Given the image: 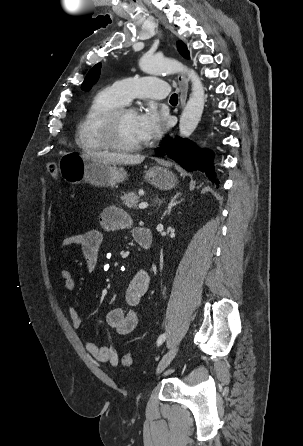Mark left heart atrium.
<instances>
[{
    "instance_id": "left-heart-atrium-1",
    "label": "left heart atrium",
    "mask_w": 303,
    "mask_h": 446,
    "mask_svg": "<svg viewBox=\"0 0 303 446\" xmlns=\"http://www.w3.org/2000/svg\"><path fill=\"white\" fill-rule=\"evenodd\" d=\"M167 118L154 107L148 108L136 116V128L142 141L159 138L167 126Z\"/></svg>"
}]
</instances>
